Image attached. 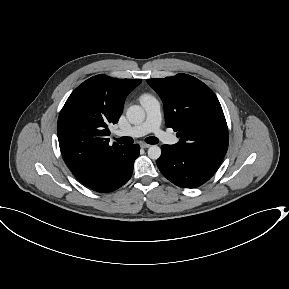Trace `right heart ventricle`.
<instances>
[{
    "instance_id": "e07e8e85",
    "label": "right heart ventricle",
    "mask_w": 289,
    "mask_h": 289,
    "mask_svg": "<svg viewBox=\"0 0 289 289\" xmlns=\"http://www.w3.org/2000/svg\"><path fill=\"white\" fill-rule=\"evenodd\" d=\"M148 96H149V95H143V96H141L140 99L145 98V97H148Z\"/></svg>"
}]
</instances>
